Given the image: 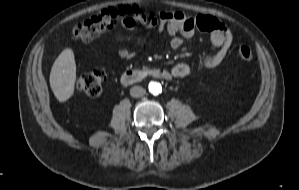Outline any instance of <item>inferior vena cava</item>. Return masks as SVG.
I'll return each instance as SVG.
<instances>
[{"label": "inferior vena cava", "mask_w": 299, "mask_h": 190, "mask_svg": "<svg viewBox=\"0 0 299 190\" xmlns=\"http://www.w3.org/2000/svg\"><path fill=\"white\" fill-rule=\"evenodd\" d=\"M146 93L145 89L142 88L141 86H133L130 89V95L134 98L142 97Z\"/></svg>", "instance_id": "inferior-vena-cava-1"}]
</instances>
